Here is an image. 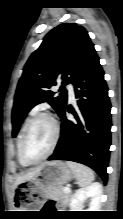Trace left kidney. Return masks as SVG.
Masks as SVG:
<instances>
[{
  "label": "left kidney",
  "mask_w": 123,
  "mask_h": 219,
  "mask_svg": "<svg viewBox=\"0 0 123 219\" xmlns=\"http://www.w3.org/2000/svg\"><path fill=\"white\" fill-rule=\"evenodd\" d=\"M101 195L102 185L99 182H94L75 192L70 201V208L72 211H82L84 202L90 199L89 208L83 211H100Z\"/></svg>",
  "instance_id": "5707ae66"
}]
</instances>
